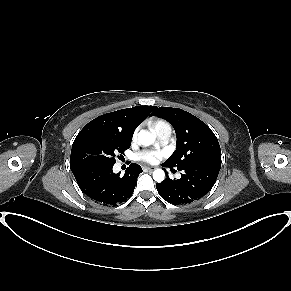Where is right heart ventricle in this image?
I'll list each match as a JSON object with an SVG mask.
<instances>
[{
    "instance_id": "obj_1",
    "label": "right heart ventricle",
    "mask_w": 291,
    "mask_h": 291,
    "mask_svg": "<svg viewBox=\"0 0 291 291\" xmlns=\"http://www.w3.org/2000/svg\"><path fill=\"white\" fill-rule=\"evenodd\" d=\"M151 124L155 131H157L161 127L168 125V123L162 119H155L151 122Z\"/></svg>"
}]
</instances>
